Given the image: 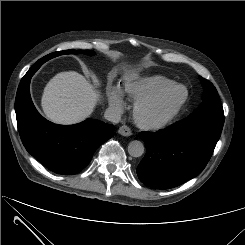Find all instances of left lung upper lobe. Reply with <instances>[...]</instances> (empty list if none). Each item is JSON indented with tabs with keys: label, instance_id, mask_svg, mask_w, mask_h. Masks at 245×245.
Wrapping results in <instances>:
<instances>
[{
	"label": "left lung upper lobe",
	"instance_id": "5c2ea615",
	"mask_svg": "<svg viewBox=\"0 0 245 245\" xmlns=\"http://www.w3.org/2000/svg\"><path fill=\"white\" fill-rule=\"evenodd\" d=\"M203 85L202 103L190 114L187 120H210L219 124H224V112L216 88L208 80L199 77Z\"/></svg>",
	"mask_w": 245,
	"mask_h": 245
}]
</instances>
